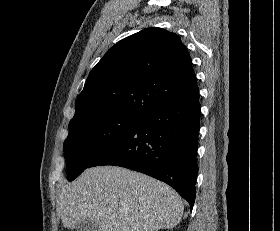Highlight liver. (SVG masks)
I'll list each match as a JSON object with an SVG mask.
<instances>
[{
  "instance_id": "6515ba94",
  "label": "liver",
  "mask_w": 280,
  "mask_h": 231,
  "mask_svg": "<svg viewBox=\"0 0 280 231\" xmlns=\"http://www.w3.org/2000/svg\"><path fill=\"white\" fill-rule=\"evenodd\" d=\"M57 205L68 229L91 219L99 223V231L170 229L184 211L179 193L167 183L116 165L85 169L75 181L62 185Z\"/></svg>"
}]
</instances>
